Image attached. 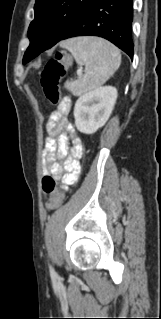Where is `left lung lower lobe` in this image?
<instances>
[{"label":"left lung lower lobe","mask_w":161,"mask_h":319,"mask_svg":"<svg viewBox=\"0 0 161 319\" xmlns=\"http://www.w3.org/2000/svg\"><path fill=\"white\" fill-rule=\"evenodd\" d=\"M132 20L133 0H95L61 40L76 36H99L133 58ZM37 53L30 54L23 63L29 62Z\"/></svg>","instance_id":"left-lung-lower-lobe-1"}]
</instances>
